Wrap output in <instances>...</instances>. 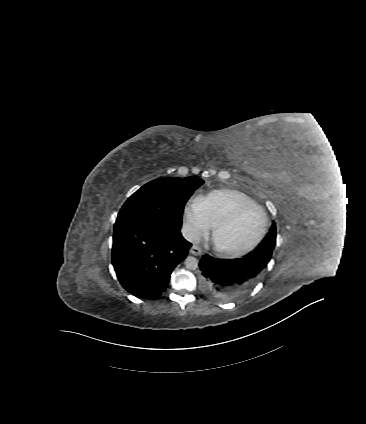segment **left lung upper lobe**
Wrapping results in <instances>:
<instances>
[{
  "mask_svg": "<svg viewBox=\"0 0 366 424\" xmlns=\"http://www.w3.org/2000/svg\"><path fill=\"white\" fill-rule=\"evenodd\" d=\"M276 244V225L273 222L270 229V233L264 238L261 244L253 251L250 252L251 255L255 257H260L267 262L270 261L273 249ZM259 279L255 282L257 283Z\"/></svg>",
  "mask_w": 366,
  "mask_h": 424,
  "instance_id": "obj_1",
  "label": "left lung upper lobe"
}]
</instances>
